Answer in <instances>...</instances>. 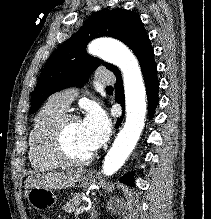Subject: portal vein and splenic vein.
Here are the masks:
<instances>
[{"label":"portal vein and splenic vein","mask_w":211,"mask_h":219,"mask_svg":"<svg viewBox=\"0 0 211 219\" xmlns=\"http://www.w3.org/2000/svg\"><path fill=\"white\" fill-rule=\"evenodd\" d=\"M86 210L85 206H80L79 208L76 209L75 215H79L82 212H84Z\"/></svg>","instance_id":"portal-vein-and-splenic-vein-1"}]
</instances>
